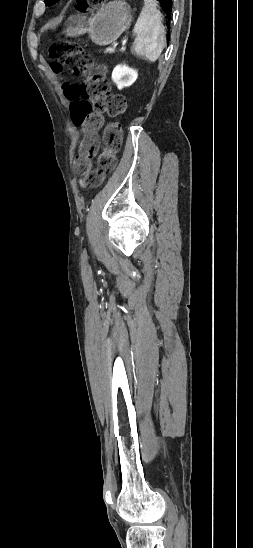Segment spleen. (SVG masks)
<instances>
[{
    "instance_id": "1",
    "label": "spleen",
    "mask_w": 253,
    "mask_h": 548,
    "mask_svg": "<svg viewBox=\"0 0 253 548\" xmlns=\"http://www.w3.org/2000/svg\"><path fill=\"white\" fill-rule=\"evenodd\" d=\"M136 39L133 51L150 62H155L166 43L165 28L155 0H144V7L133 29Z\"/></svg>"
}]
</instances>
